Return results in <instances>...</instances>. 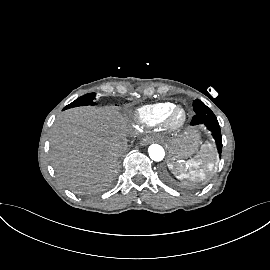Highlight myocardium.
<instances>
[{
    "mask_svg": "<svg viewBox=\"0 0 270 270\" xmlns=\"http://www.w3.org/2000/svg\"><path fill=\"white\" fill-rule=\"evenodd\" d=\"M188 112L182 106H175L168 114L165 125L171 131H178L186 124Z\"/></svg>",
    "mask_w": 270,
    "mask_h": 270,
    "instance_id": "f54148a6",
    "label": "myocardium"
}]
</instances>
